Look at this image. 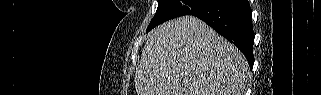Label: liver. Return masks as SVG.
Returning <instances> with one entry per match:
<instances>
[{
  "label": "liver",
  "instance_id": "liver-1",
  "mask_svg": "<svg viewBox=\"0 0 321 95\" xmlns=\"http://www.w3.org/2000/svg\"><path fill=\"white\" fill-rule=\"evenodd\" d=\"M249 76L244 55L193 16L149 34L136 68L137 95H242Z\"/></svg>",
  "mask_w": 321,
  "mask_h": 95
}]
</instances>
